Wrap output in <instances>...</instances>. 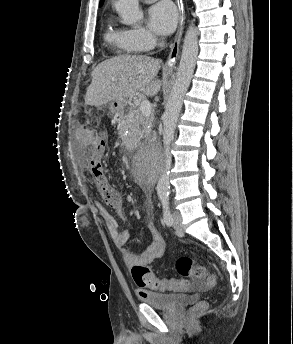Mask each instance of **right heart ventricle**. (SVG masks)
Returning <instances> with one entry per match:
<instances>
[{
  "instance_id": "e07e8e85",
  "label": "right heart ventricle",
  "mask_w": 293,
  "mask_h": 344,
  "mask_svg": "<svg viewBox=\"0 0 293 344\" xmlns=\"http://www.w3.org/2000/svg\"><path fill=\"white\" fill-rule=\"evenodd\" d=\"M104 39L119 53L134 54L138 52L127 41L124 30L117 28L111 20L108 21L105 29Z\"/></svg>"
}]
</instances>
